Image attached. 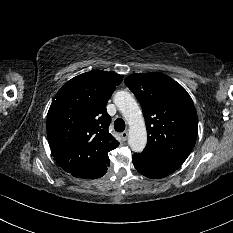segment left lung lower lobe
Wrapping results in <instances>:
<instances>
[{
  "label": "left lung lower lobe",
  "mask_w": 233,
  "mask_h": 233,
  "mask_svg": "<svg viewBox=\"0 0 233 233\" xmlns=\"http://www.w3.org/2000/svg\"><path fill=\"white\" fill-rule=\"evenodd\" d=\"M132 161L137 171L152 179L163 178L176 171L182 164L150 153H135Z\"/></svg>",
  "instance_id": "left-lung-lower-lobe-1"
}]
</instances>
